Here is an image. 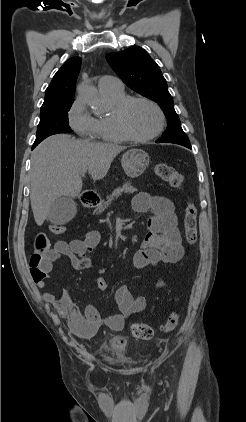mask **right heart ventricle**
<instances>
[{
    "label": "right heart ventricle",
    "instance_id": "e07e8e85",
    "mask_svg": "<svg viewBox=\"0 0 246 422\" xmlns=\"http://www.w3.org/2000/svg\"><path fill=\"white\" fill-rule=\"evenodd\" d=\"M102 94L111 104L113 109L119 102L128 97L124 90L117 92H102ZM97 127V138L103 142L122 143L127 141L114 122L113 111L106 116L99 117L97 119Z\"/></svg>",
    "mask_w": 246,
    "mask_h": 422
}]
</instances>
